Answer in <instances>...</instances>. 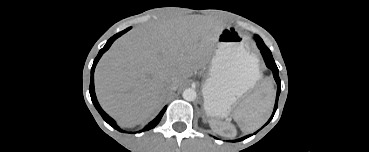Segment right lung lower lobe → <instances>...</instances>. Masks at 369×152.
<instances>
[{
  "mask_svg": "<svg viewBox=\"0 0 369 152\" xmlns=\"http://www.w3.org/2000/svg\"><path fill=\"white\" fill-rule=\"evenodd\" d=\"M128 30H130V28H127L126 30L114 35L113 37H111L106 45L99 51V54L97 55V57L95 58L94 62H93V66L91 68V81H90V88H89V91H90V96H91V99H92V102L94 104V106L96 107V109L98 110V112L100 113V115L103 117V119L109 124L111 125L113 128L119 130V131H123L121 130L117 125H116V122L111 118L109 117L103 110L102 108L100 107L97 99H96V95H95V91H94V70H95V66L97 64V62L99 61L100 57L103 55V53L109 49V47L111 46V44L114 42V40H116L119 36H121L122 34H124L125 32H127ZM166 110V107L163 108V110L160 112V114L152 121L150 122L143 130H141L140 132L142 131H147L151 128H154L158 123L159 121L161 120L164 112Z\"/></svg>",
  "mask_w": 369,
  "mask_h": 152,
  "instance_id": "98d812e1",
  "label": "right lung lower lobe"
}]
</instances>
